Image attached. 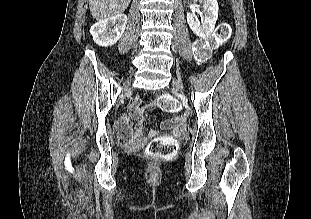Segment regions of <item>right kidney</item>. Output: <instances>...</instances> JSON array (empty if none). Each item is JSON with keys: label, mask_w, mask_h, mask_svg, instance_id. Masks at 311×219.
<instances>
[{"label": "right kidney", "mask_w": 311, "mask_h": 219, "mask_svg": "<svg viewBox=\"0 0 311 219\" xmlns=\"http://www.w3.org/2000/svg\"><path fill=\"white\" fill-rule=\"evenodd\" d=\"M127 24V16L119 14L94 24L90 33L94 42L102 47L114 45L122 36Z\"/></svg>", "instance_id": "right-kidney-1"}]
</instances>
